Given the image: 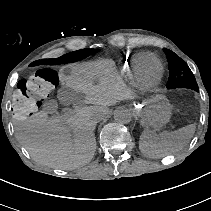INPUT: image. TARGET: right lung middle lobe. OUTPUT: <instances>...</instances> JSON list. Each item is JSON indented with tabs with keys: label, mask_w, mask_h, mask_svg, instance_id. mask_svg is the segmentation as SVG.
I'll return each mask as SVG.
<instances>
[{
	"label": "right lung middle lobe",
	"mask_w": 211,
	"mask_h": 211,
	"mask_svg": "<svg viewBox=\"0 0 211 211\" xmlns=\"http://www.w3.org/2000/svg\"><path fill=\"white\" fill-rule=\"evenodd\" d=\"M98 51L99 49H81L78 51L70 52L59 58H56L55 63L62 64V63L76 62L88 57L89 55H93L97 53Z\"/></svg>",
	"instance_id": "dd1d6c3e"
}]
</instances>
